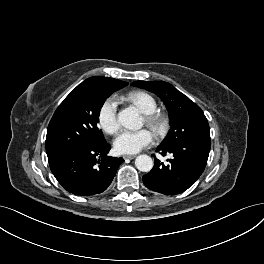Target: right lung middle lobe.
Listing matches in <instances>:
<instances>
[{
    "instance_id": "dd1d6c3e",
    "label": "right lung middle lobe",
    "mask_w": 264,
    "mask_h": 264,
    "mask_svg": "<svg viewBox=\"0 0 264 264\" xmlns=\"http://www.w3.org/2000/svg\"><path fill=\"white\" fill-rule=\"evenodd\" d=\"M123 88L106 83L82 82L56 109L47 130V155L74 145L101 146L106 143L98 128L106 98Z\"/></svg>"
}]
</instances>
